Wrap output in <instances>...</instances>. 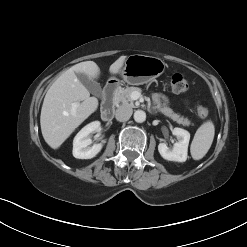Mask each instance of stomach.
<instances>
[{
	"instance_id": "0dacf381",
	"label": "stomach",
	"mask_w": 247,
	"mask_h": 247,
	"mask_svg": "<svg viewBox=\"0 0 247 247\" xmlns=\"http://www.w3.org/2000/svg\"><path fill=\"white\" fill-rule=\"evenodd\" d=\"M165 66V62L158 57L133 54L126 58L120 75L130 85H142L163 74ZM110 80L117 79L112 77Z\"/></svg>"
}]
</instances>
